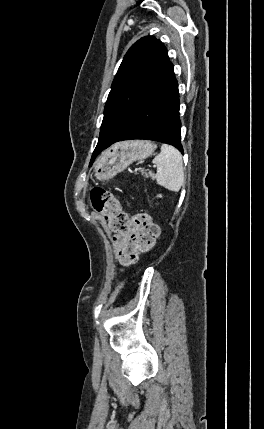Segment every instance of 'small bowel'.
<instances>
[{
  "label": "small bowel",
  "mask_w": 264,
  "mask_h": 429,
  "mask_svg": "<svg viewBox=\"0 0 264 429\" xmlns=\"http://www.w3.org/2000/svg\"><path fill=\"white\" fill-rule=\"evenodd\" d=\"M132 237V233L130 231H123L116 234L113 238V243L116 249H120L124 245H126Z\"/></svg>",
  "instance_id": "1"
}]
</instances>
